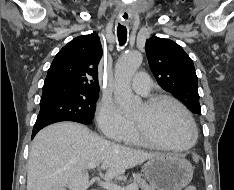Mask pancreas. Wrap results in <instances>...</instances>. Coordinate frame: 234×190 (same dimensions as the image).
I'll return each instance as SVG.
<instances>
[{"instance_id": "cf45deb5", "label": "pancreas", "mask_w": 234, "mask_h": 190, "mask_svg": "<svg viewBox=\"0 0 234 190\" xmlns=\"http://www.w3.org/2000/svg\"><path fill=\"white\" fill-rule=\"evenodd\" d=\"M132 184L138 185L141 188V190H155L154 187L149 185L140 174L133 175V183Z\"/></svg>"}]
</instances>
